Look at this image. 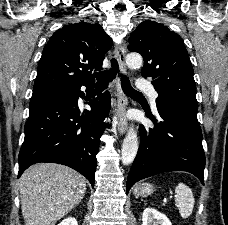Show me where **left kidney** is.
Here are the masks:
<instances>
[{"instance_id":"5707ae66","label":"left kidney","mask_w":228,"mask_h":225,"mask_svg":"<svg viewBox=\"0 0 228 225\" xmlns=\"http://www.w3.org/2000/svg\"><path fill=\"white\" fill-rule=\"evenodd\" d=\"M142 225H172L166 215L159 213L156 209L148 207L143 211Z\"/></svg>"}]
</instances>
